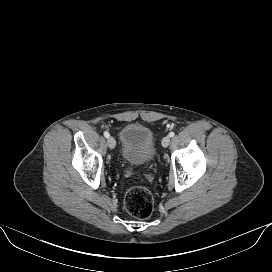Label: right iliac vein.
Here are the masks:
<instances>
[{"label": "right iliac vein", "instance_id": "63e3f726", "mask_svg": "<svg viewBox=\"0 0 272 272\" xmlns=\"http://www.w3.org/2000/svg\"><path fill=\"white\" fill-rule=\"evenodd\" d=\"M107 144H108L110 149H114L115 146H116V141H115V139L113 137H109L107 139Z\"/></svg>", "mask_w": 272, "mask_h": 272}]
</instances>
